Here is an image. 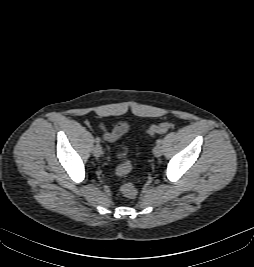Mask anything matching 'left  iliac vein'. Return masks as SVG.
Returning <instances> with one entry per match:
<instances>
[{"label":"left iliac vein","mask_w":254,"mask_h":267,"mask_svg":"<svg viewBox=\"0 0 254 267\" xmlns=\"http://www.w3.org/2000/svg\"><path fill=\"white\" fill-rule=\"evenodd\" d=\"M163 149L161 145H156L153 149V153L156 157H160L162 155Z\"/></svg>","instance_id":"obj_1"}]
</instances>
